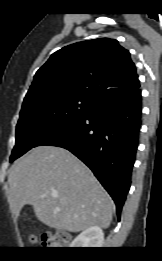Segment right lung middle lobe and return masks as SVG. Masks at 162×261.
<instances>
[{"label":"right lung middle lobe","instance_id":"dd1d6c3e","mask_svg":"<svg viewBox=\"0 0 162 261\" xmlns=\"http://www.w3.org/2000/svg\"><path fill=\"white\" fill-rule=\"evenodd\" d=\"M95 105L96 101L78 95H54L24 100L10 162L35 147L52 130L92 111Z\"/></svg>","mask_w":162,"mask_h":261}]
</instances>
